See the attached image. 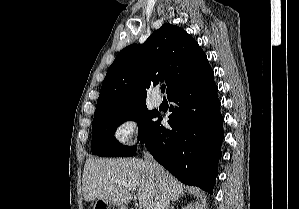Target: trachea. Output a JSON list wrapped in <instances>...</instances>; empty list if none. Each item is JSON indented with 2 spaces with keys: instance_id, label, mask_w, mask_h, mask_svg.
<instances>
[{
  "instance_id": "3493384b",
  "label": "trachea",
  "mask_w": 299,
  "mask_h": 209,
  "mask_svg": "<svg viewBox=\"0 0 299 209\" xmlns=\"http://www.w3.org/2000/svg\"><path fill=\"white\" fill-rule=\"evenodd\" d=\"M165 88H166L165 85H162V86H161V92H162V93L165 92Z\"/></svg>"
}]
</instances>
